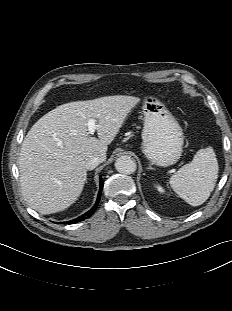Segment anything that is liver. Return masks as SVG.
Returning <instances> with one entry per match:
<instances>
[{"label":"liver","mask_w":232,"mask_h":311,"mask_svg":"<svg viewBox=\"0 0 232 311\" xmlns=\"http://www.w3.org/2000/svg\"><path fill=\"white\" fill-rule=\"evenodd\" d=\"M140 102L133 96H106L70 102L41 117L25 136L19 157L20 184L28 205L46 215L63 211L82 193L86 161L106 160L128 113ZM97 122L98 138L87 122Z\"/></svg>","instance_id":"6515ba94"}]
</instances>
